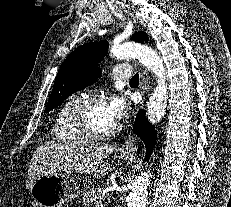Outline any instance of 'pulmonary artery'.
<instances>
[{
	"label": "pulmonary artery",
	"mask_w": 231,
	"mask_h": 207,
	"mask_svg": "<svg viewBox=\"0 0 231 207\" xmlns=\"http://www.w3.org/2000/svg\"><path fill=\"white\" fill-rule=\"evenodd\" d=\"M111 77L114 80H126L133 77L132 67L128 64H118L113 67Z\"/></svg>",
	"instance_id": "1"
}]
</instances>
